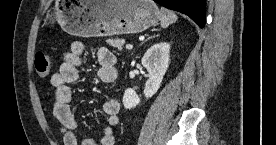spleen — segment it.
Returning a JSON list of instances; mask_svg holds the SVG:
<instances>
[{"label":"spleen","instance_id":"1","mask_svg":"<svg viewBox=\"0 0 276 145\" xmlns=\"http://www.w3.org/2000/svg\"><path fill=\"white\" fill-rule=\"evenodd\" d=\"M176 21H177V16L174 12H172L164 7H161V10H160L161 27L166 28L170 24H172Z\"/></svg>","mask_w":276,"mask_h":145}]
</instances>
